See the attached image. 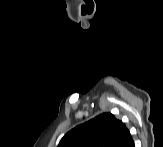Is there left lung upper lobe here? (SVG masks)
Instances as JSON below:
<instances>
[{
    "mask_svg": "<svg viewBox=\"0 0 163 147\" xmlns=\"http://www.w3.org/2000/svg\"><path fill=\"white\" fill-rule=\"evenodd\" d=\"M126 129L113 114L103 113L69 131L58 147H115Z\"/></svg>",
    "mask_w": 163,
    "mask_h": 147,
    "instance_id": "5c2ea615",
    "label": "left lung upper lobe"
}]
</instances>
